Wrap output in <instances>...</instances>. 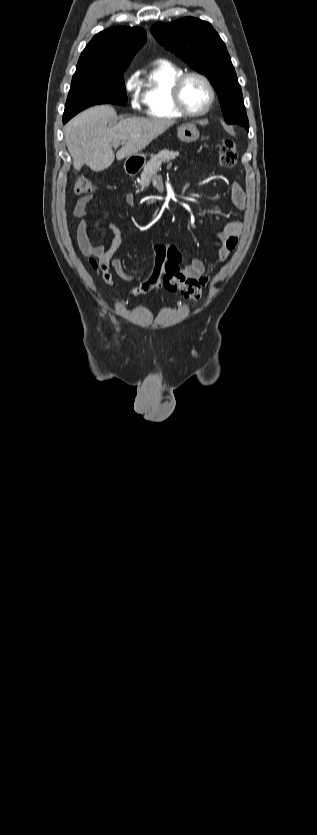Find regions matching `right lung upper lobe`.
Returning a JSON list of instances; mask_svg holds the SVG:
<instances>
[{
  "instance_id": "obj_1",
  "label": "right lung upper lobe",
  "mask_w": 317,
  "mask_h": 835,
  "mask_svg": "<svg viewBox=\"0 0 317 835\" xmlns=\"http://www.w3.org/2000/svg\"><path fill=\"white\" fill-rule=\"evenodd\" d=\"M145 41L146 33L138 27H114L104 30L95 35L85 47L76 71L126 70Z\"/></svg>"
}]
</instances>
